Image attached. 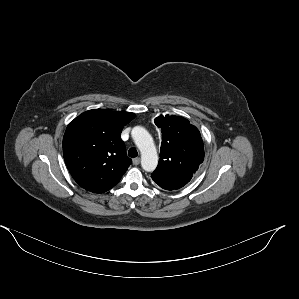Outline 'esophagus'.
Wrapping results in <instances>:
<instances>
[{"label": "esophagus", "mask_w": 299, "mask_h": 299, "mask_svg": "<svg viewBox=\"0 0 299 299\" xmlns=\"http://www.w3.org/2000/svg\"><path fill=\"white\" fill-rule=\"evenodd\" d=\"M132 161L134 165H138L140 163V158L139 157L134 158Z\"/></svg>", "instance_id": "1"}]
</instances>
